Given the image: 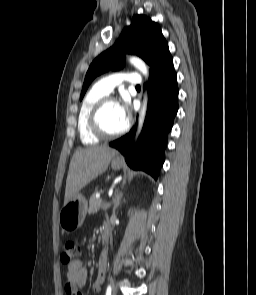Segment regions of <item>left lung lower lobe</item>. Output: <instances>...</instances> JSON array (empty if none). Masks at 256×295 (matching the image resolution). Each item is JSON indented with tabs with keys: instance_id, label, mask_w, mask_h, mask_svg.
<instances>
[{
	"instance_id": "left-lung-lower-lobe-1",
	"label": "left lung lower lobe",
	"mask_w": 256,
	"mask_h": 295,
	"mask_svg": "<svg viewBox=\"0 0 256 295\" xmlns=\"http://www.w3.org/2000/svg\"><path fill=\"white\" fill-rule=\"evenodd\" d=\"M177 110V76L172 63L150 76L147 114L137 145L133 143L136 128L109 145L125 156L130 167L157 179L164 162L167 134Z\"/></svg>"
}]
</instances>
